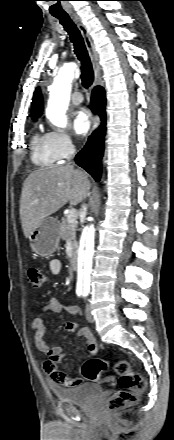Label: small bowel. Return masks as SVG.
<instances>
[{"label": "small bowel", "mask_w": 174, "mask_h": 440, "mask_svg": "<svg viewBox=\"0 0 174 440\" xmlns=\"http://www.w3.org/2000/svg\"><path fill=\"white\" fill-rule=\"evenodd\" d=\"M60 269L61 263L58 260L53 259L50 261L49 270L52 275H57L60 272ZM63 307L64 305L59 299L52 298L46 304L42 305L39 308V312L41 314L58 313L62 310ZM66 307L72 312H77V309L72 305H67ZM32 326L35 333V344L37 349L42 354L51 358V360H47L44 364V369L46 373L51 377V379L55 383L65 387H74L81 384L83 382L82 378H69L64 372L56 368L54 360H62L64 358L63 348L60 346L50 347L47 345L44 339V334L46 330L44 321L41 318L36 317L33 320ZM65 330L67 332H73L77 330V334L85 339L87 354L89 356H93L98 352V343L89 327H79L77 323L71 322L66 325Z\"/></svg>", "instance_id": "obj_1"}]
</instances>
